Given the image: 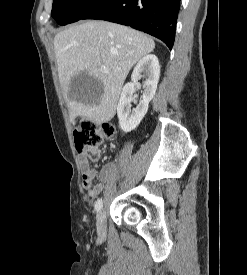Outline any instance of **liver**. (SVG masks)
<instances>
[{"label": "liver", "instance_id": "1", "mask_svg": "<svg viewBox=\"0 0 247 275\" xmlns=\"http://www.w3.org/2000/svg\"><path fill=\"white\" fill-rule=\"evenodd\" d=\"M154 48L147 35L107 21H86L57 33L54 50L70 121L78 116L96 124L110 121L129 71ZM83 71L100 81L98 96L71 92V79Z\"/></svg>", "mask_w": 247, "mask_h": 275}]
</instances>
